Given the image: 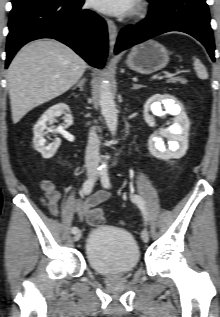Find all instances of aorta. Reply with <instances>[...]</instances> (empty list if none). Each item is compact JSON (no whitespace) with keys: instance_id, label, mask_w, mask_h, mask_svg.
<instances>
[{"instance_id":"762f6f07","label":"aorta","mask_w":220,"mask_h":317,"mask_svg":"<svg viewBox=\"0 0 220 317\" xmlns=\"http://www.w3.org/2000/svg\"><path fill=\"white\" fill-rule=\"evenodd\" d=\"M99 103L106 125L111 134L115 136L118 124L117 109L114 101V95L110 89V84L104 79H102L100 85ZM106 167L107 164L103 163L102 168L106 169Z\"/></svg>"}]
</instances>
